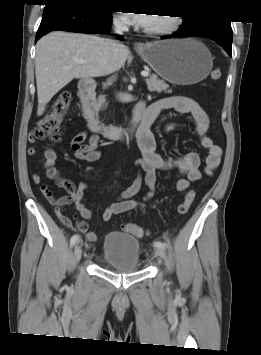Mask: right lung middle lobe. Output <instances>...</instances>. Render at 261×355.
Listing matches in <instances>:
<instances>
[{"label":"right lung middle lobe","mask_w":261,"mask_h":355,"mask_svg":"<svg viewBox=\"0 0 261 355\" xmlns=\"http://www.w3.org/2000/svg\"><path fill=\"white\" fill-rule=\"evenodd\" d=\"M100 1L102 0H82V2L87 3L92 6L102 7Z\"/></svg>","instance_id":"right-lung-middle-lobe-1"}]
</instances>
